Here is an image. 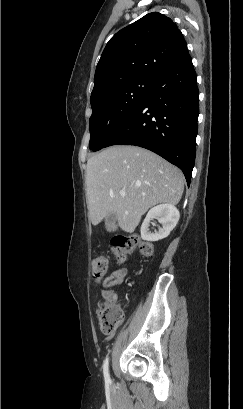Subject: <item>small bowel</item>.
Instances as JSON below:
<instances>
[{
  "instance_id": "c3829d8e",
  "label": "small bowel",
  "mask_w": 243,
  "mask_h": 409,
  "mask_svg": "<svg viewBox=\"0 0 243 409\" xmlns=\"http://www.w3.org/2000/svg\"><path fill=\"white\" fill-rule=\"evenodd\" d=\"M128 273V269L125 265L121 268L113 271L103 282L104 290L101 291V298L103 300H115L118 296V292L111 290V287L123 284Z\"/></svg>"
}]
</instances>
